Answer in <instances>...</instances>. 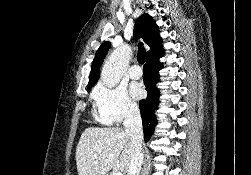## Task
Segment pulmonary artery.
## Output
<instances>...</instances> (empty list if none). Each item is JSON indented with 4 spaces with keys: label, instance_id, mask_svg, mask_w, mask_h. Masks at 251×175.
I'll return each mask as SVG.
<instances>
[{
    "label": "pulmonary artery",
    "instance_id": "pulmonary-artery-1",
    "mask_svg": "<svg viewBox=\"0 0 251 175\" xmlns=\"http://www.w3.org/2000/svg\"><path fill=\"white\" fill-rule=\"evenodd\" d=\"M135 62V61H134ZM129 74L132 78H139L142 76V70L140 67H138L136 64H134L130 70Z\"/></svg>",
    "mask_w": 251,
    "mask_h": 175
}]
</instances>
